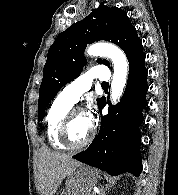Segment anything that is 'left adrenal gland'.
<instances>
[{"label":"left adrenal gland","mask_w":178,"mask_h":195,"mask_svg":"<svg viewBox=\"0 0 178 195\" xmlns=\"http://www.w3.org/2000/svg\"><path fill=\"white\" fill-rule=\"evenodd\" d=\"M101 195H105V191L101 189Z\"/></svg>","instance_id":"left-adrenal-gland-1"}]
</instances>
